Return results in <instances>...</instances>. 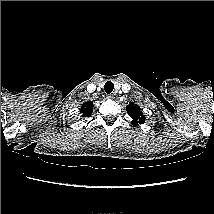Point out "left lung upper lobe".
Returning <instances> with one entry per match:
<instances>
[{"label":"left lung upper lobe","mask_w":214,"mask_h":214,"mask_svg":"<svg viewBox=\"0 0 214 214\" xmlns=\"http://www.w3.org/2000/svg\"><path fill=\"white\" fill-rule=\"evenodd\" d=\"M127 113L132 118V124L138 125L142 124L145 121V117L140 109V107L134 103H130L127 106Z\"/></svg>","instance_id":"left-lung-upper-lobe-1"}]
</instances>
